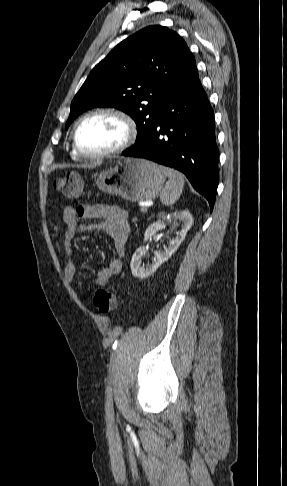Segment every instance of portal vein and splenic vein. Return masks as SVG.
Masks as SVG:
<instances>
[{"label":"portal vein and splenic vein","instance_id":"obj_1","mask_svg":"<svg viewBox=\"0 0 287 486\" xmlns=\"http://www.w3.org/2000/svg\"><path fill=\"white\" fill-rule=\"evenodd\" d=\"M140 210H141V212H147L148 207H147L146 205H144V206H142V207L140 208Z\"/></svg>","mask_w":287,"mask_h":486}]
</instances>
